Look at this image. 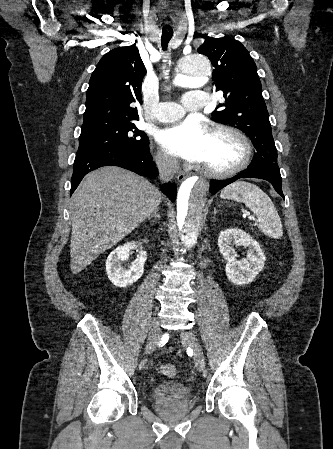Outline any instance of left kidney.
I'll list each match as a JSON object with an SVG mask.
<instances>
[{
	"instance_id": "obj_1",
	"label": "left kidney",
	"mask_w": 333,
	"mask_h": 449,
	"mask_svg": "<svg viewBox=\"0 0 333 449\" xmlns=\"http://www.w3.org/2000/svg\"><path fill=\"white\" fill-rule=\"evenodd\" d=\"M236 245L248 248L245 259H236L234 249ZM218 246L227 260L226 276L234 284L242 285L252 282L264 267L265 255L258 242L241 229L230 228L222 231L218 237Z\"/></svg>"
}]
</instances>
